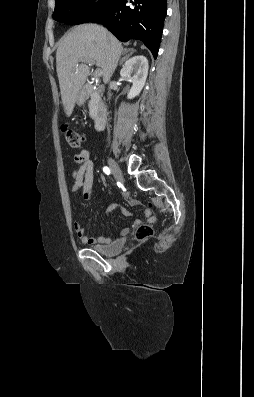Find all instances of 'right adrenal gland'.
I'll return each instance as SVG.
<instances>
[{
  "label": "right adrenal gland",
  "instance_id": "obj_1",
  "mask_svg": "<svg viewBox=\"0 0 254 397\" xmlns=\"http://www.w3.org/2000/svg\"><path fill=\"white\" fill-rule=\"evenodd\" d=\"M134 52H135V50H133V49L125 50V53H126V54L129 53V54H128V55H125V56L122 58V60L120 61V65H122V63H123L126 59H128V57H129L130 55H132Z\"/></svg>",
  "mask_w": 254,
  "mask_h": 397
}]
</instances>
